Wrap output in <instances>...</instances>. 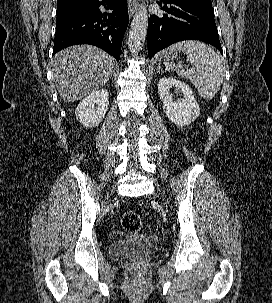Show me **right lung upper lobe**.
<instances>
[{"label":"right lung upper lobe","instance_id":"obj_1","mask_svg":"<svg viewBox=\"0 0 272 303\" xmlns=\"http://www.w3.org/2000/svg\"><path fill=\"white\" fill-rule=\"evenodd\" d=\"M83 1H93V0H57L58 5L83 2Z\"/></svg>","mask_w":272,"mask_h":303}]
</instances>
